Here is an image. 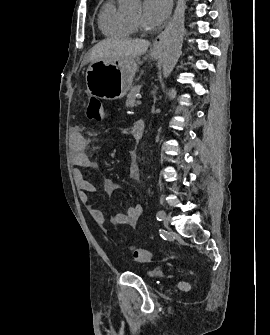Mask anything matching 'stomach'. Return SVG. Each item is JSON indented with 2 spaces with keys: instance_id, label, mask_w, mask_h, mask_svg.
Here are the masks:
<instances>
[{
  "instance_id": "stomach-1",
  "label": "stomach",
  "mask_w": 270,
  "mask_h": 335,
  "mask_svg": "<svg viewBox=\"0 0 270 335\" xmlns=\"http://www.w3.org/2000/svg\"><path fill=\"white\" fill-rule=\"evenodd\" d=\"M161 54V48H151L149 56L151 60H155ZM139 64H143L139 58H115V60L92 62L85 74L88 94L100 100L124 98L132 88Z\"/></svg>"
}]
</instances>
